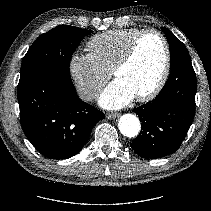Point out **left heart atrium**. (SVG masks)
I'll return each mask as SVG.
<instances>
[{"label":"left heart atrium","mask_w":211,"mask_h":211,"mask_svg":"<svg viewBox=\"0 0 211 211\" xmlns=\"http://www.w3.org/2000/svg\"><path fill=\"white\" fill-rule=\"evenodd\" d=\"M134 98L133 91L123 82L115 79L102 92L99 103L106 109H118L128 105Z\"/></svg>","instance_id":"1"}]
</instances>
